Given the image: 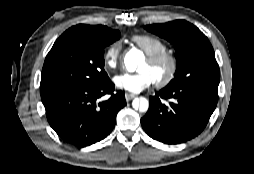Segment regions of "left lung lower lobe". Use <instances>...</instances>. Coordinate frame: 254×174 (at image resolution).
<instances>
[{"instance_id": "obj_1", "label": "left lung lower lobe", "mask_w": 254, "mask_h": 174, "mask_svg": "<svg viewBox=\"0 0 254 174\" xmlns=\"http://www.w3.org/2000/svg\"><path fill=\"white\" fill-rule=\"evenodd\" d=\"M162 99L171 101L165 104ZM218 102V85L191 84L163 88L149 98V109L141 119L145 132L166 144H179L199 135Z\"/></svg>"}]
</instances>
